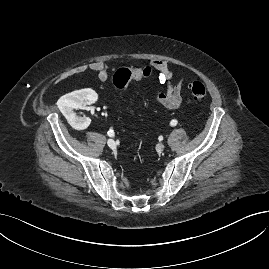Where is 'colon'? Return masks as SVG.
I'll return each mask as SVG.
<instances>
[{"label":"colon","instance_id":"colon-1","mask_svg":"<svg viewBox=\"0 0 269 269\" xmlns=\"http://www.w3.org/2000/svg\"><path fill=\"white\" fill-rule=\"evenodd\" d=\"M152 73L151 67H146L142 70V77H148ZM132 79H135L133 71L121 68L116 71L113 76V84L119 90H124L128 87ZM191 94L196 102H201L206 98V88L203 83L196 81L191 85Z\"/></svg>","mask_w":269,"mask_h":269}]
</instances>
